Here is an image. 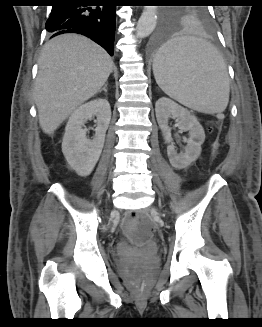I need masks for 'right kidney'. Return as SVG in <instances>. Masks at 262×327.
Listing matches in <instances>:
<instances>
[{
	"mask_svg": "<svg viewBox=\"0 0 262 327\" xmlns=\"http://www.w3.org/2000/svg\"><path fill=\"white\" fill-rule=\"evenodd\" d=\"M96 116L97 127L92 140L83 129L87 120ZM111 119L110 104L106 99H94L73 111L62 141V152L68 164L80 176L89 175L101 155L105 134Z\"/></svg>",
	"mask_w": 262,
	"mask_h": 327,
	"instance_id": "ca27d5eb",
	"label": "right kidney"
}]
</instances>
